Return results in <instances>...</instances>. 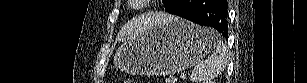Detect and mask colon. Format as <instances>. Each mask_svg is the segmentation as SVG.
I'll list each match as a JSON object with an SVG mask.
<instances>
[{"label":"colon","mask_w":307,"mask_h":83,"mask_svg":"<svg viewBox=\"0 0 307 83\" xmlns=\"http://www.w3.org/2000/svg\"><path fill=\"white\" fill-rule=\"evenodd\" d=\"M133 81H131V80H129V79H127V80H125L124 81V83H132Z\"/></svg>","instance_id":"obj_1"}]
</instances>
